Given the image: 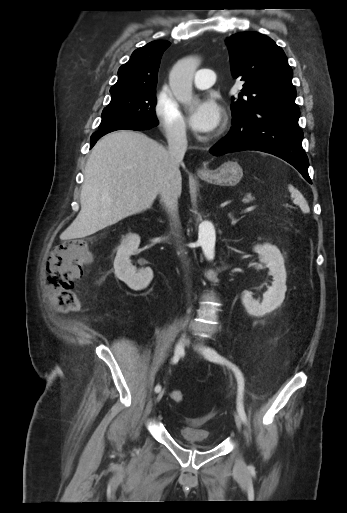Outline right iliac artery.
I'll return each instance as SVG.
<instances>
[{
  "mask_svg": "<svg viewBox=\"0 0 347 513\" xmlns=\"http://www.w3.org/2000/svg\"><path fill=\"white\" fill-rule=\"evenodd\" d=\"M184 352V348L182 347V345L179 343L176 348H175V353H174V356L172 358V363L173 364H176L179 359H180V356L183 354ZM161 391V386L160 385H156L155 387V392H160Z\"/></svg>",
  "mask_w": 347,
  "mask_h": 513,
  "instance_id": "82829eb1",
  "label": "right iliac artery"
}]
</instances>
